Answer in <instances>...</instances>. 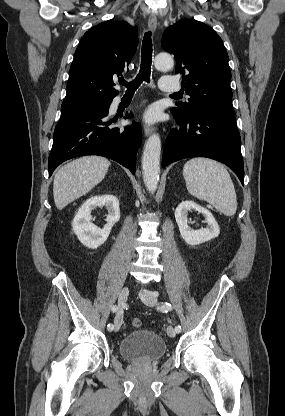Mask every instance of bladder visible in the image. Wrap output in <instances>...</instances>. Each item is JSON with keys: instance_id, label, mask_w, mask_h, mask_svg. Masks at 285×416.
I'll return each mask as SVG.
<instances>
[{"instance_id": "bladder-1", "label": "bladder", "mask_w": 285, "mask_h": 416, "mask_svg": "<svg viewBox=\"0 0 285 416\" xmlns=\"http://www.w3.org/2000/svg\"><path fill=\"white\" fill-rule=\"evenodd\" d=\"M165 340L153 329L132 330L118 343L121 359L131 362L154 363L166 356Z\"/></svg>"}]
</instances>
